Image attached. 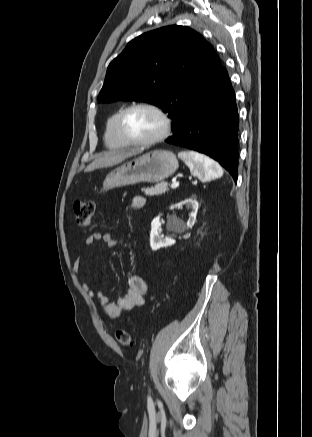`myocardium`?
I'll return each instance as SVG.
<instances>
[{"label": "myocardium", "mask_w": 312, "mask_h": 437, "mask_svg": "<svg viewBox=\"0 0 312 437\" xmlns=\"http://www.w3.org/2000/svg\"><path fill=\"white\" fill-rule=\"evenodd\" d=\"M137 108H147L156 113L162 121V129L161 131L154 137L145 139V140H136L131 138L124 129V121L129 112ZM117 132L122 140L127 145L132 146H150L157 144L163 140H165L171 131V120L168 115L156 104L150 102H136L127 107H125L118 115L117 118Z\"/></svg>", "instance_id": "myocardium-1"}]
</instances>
